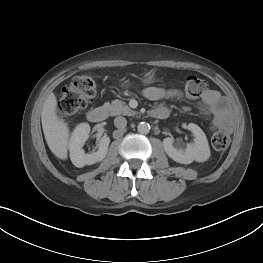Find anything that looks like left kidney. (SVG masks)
Listing matches in <instances>:
<instances>
[{
    "instance_id": "1",
    "label": "left kidney",
    "mask_w": 263,
    "mask_h": 263,
    "mask_svg": "<svg viewBox=\"0 0 263 263\" xmlns=\"http://www.w3.org/2000/svg\"><path fill=\"white\" fill-rule=\"evenodd\" d=\"M188 130L193 133L194 143L187 144L186 149H180L173 145L174 139L172 137H167L163 140L166 154L181 164L206 161L210 156V148L205 133L194 123L188 124Z\"/></svg>"
}]
</instances>
